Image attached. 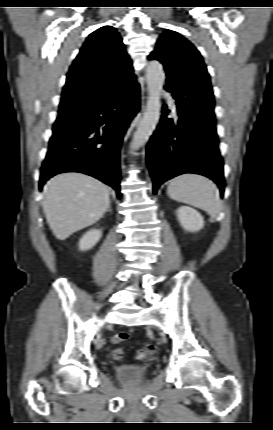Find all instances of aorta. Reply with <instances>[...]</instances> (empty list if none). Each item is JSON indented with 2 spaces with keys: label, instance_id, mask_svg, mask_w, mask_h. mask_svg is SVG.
Here are the masks:
<instances>
[{
  "label": "aorta",
  "instance_id": "obj_1",
  "mask_svg": "<svg viewBox=\"0 0 273 430\" xmlns=\"http://www.w3.org/2000/svg\"><path fill=\"white\" fill-rule=\"evenodd\" d=\"M148 87V102L143 118L134 133L131 141V149L142 147L155 130L160 118L161 91L165 81V73L162 65L157 61H151L146 71Z\"/></svg>",
  "mask_w": 273,
  "mask_h": 430
}]
</instances>
